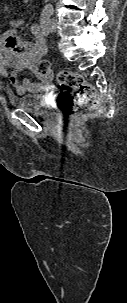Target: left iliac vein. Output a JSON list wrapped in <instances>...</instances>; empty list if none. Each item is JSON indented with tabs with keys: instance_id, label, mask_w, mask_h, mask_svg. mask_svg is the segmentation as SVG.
Here are the masks:
<instances>
[{
	"instance_id": "left-iliac-vein-1",
	"label": "left iliac vein",
	"mask_w": 127,
	"mask_h": 303,
	"mask_svg": "<svg viewBox=\"0 0 127 303\" xmlns=\"http://www.w3.org/2000/svg\"><path fill=\"white\" fill-rule=\"evenodd\" d=\"M57 28V20L56 19H52L51 23H50V30L51 32H54Z\"/></svg>"
}]
</instances>
